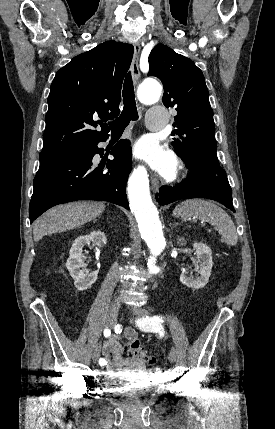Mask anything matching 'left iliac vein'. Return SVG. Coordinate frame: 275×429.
<instances>
[{"label": "left iliac vein", "instance_id": "4c4485c4", "mask_svg": "<svg viewBox=\"0 0 275 429\" xmlns=\"http://www.w3.org/2000/svg\"><path fill=\"white\" fill-rule=\"evenodd\" d=\"M133 314L136 315L140 319H144L148 316V311L143 308L136 307L133 309ZM178 357V352L175 348H172L169 354V360L170 362L174 363L176 362Z\"/></svg>", "mask_w": 275, "mask_h": 429}]
</instances>
